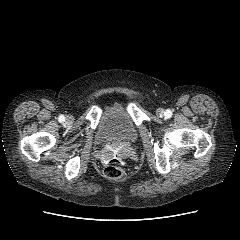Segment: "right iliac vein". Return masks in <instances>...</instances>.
I'll use <instances>...</instances> for the list:
<instances>
[{"label":"right iliac vein","mask_w":240,"mask_h":240,"mask_svg":"<svg viewBox=\"0 0 240 240\" xmlns=\"http://www.w3.org/2000/svg\"><path fill=\"white\" fill-rule=\"evenodd\" d=\"M68 122H71L72 121V117L71 116H67V119H66Z\"/></svg>","instance_id":"right-iliac-vein-1"}]
</instances>
